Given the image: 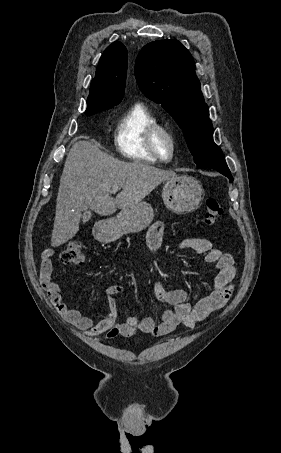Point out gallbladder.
<instances>
[{"label": "gallbladder", "mask_w": 281, "mask_h": 453, "mask_svg": "<svg viewBox=\"0 0 281 453\" xmlns=\"http://www.w3.org/2000/svg\"><path fill=\"white\" fill-rule=\"evenodd\" d=\"M92 214L90 212V210H86V212H84L82 218H83V222H86V220H89V218H91Z\"/></svg>", "instance_id": "gallbladder-1"}]
</instances>
